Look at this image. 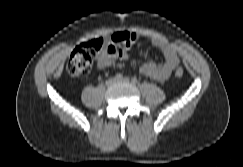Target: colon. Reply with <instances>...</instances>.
<instances>
[{
	"mask_svg": "<svg viewBox=\"0 0 243 167\" xmlns=\"http://www.w3.org/2000/svg\"><path fill=\"white\" fill-rule=\"evenodd\" d=\"M104 40L95 38L84 42L77 46L72 52L67 63V72L71 76H83L87 74L93 64L96 55L102 50ZM183 70L178 68L175 71V76L180 78L183 76Z\"/></svg>",
	"mask_w": 243,
	"mask_h": 167,
	"instance_id": "1",
	"label": "colon"
}]
</instances>
